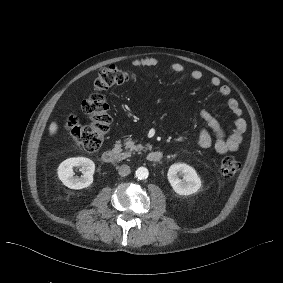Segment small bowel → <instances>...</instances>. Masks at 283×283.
<instances>
[{"instance_id":"obj_1","label":"small bowel","mask_w":283,"mask_h":283,"mask_svg":"<svg viewBox=\"0 0 283 283\" xmlns=\"http://www.w3.org/2000/svg\"><path fill=\"white\" fill-rule=\"evenodd\" d=\"M159 64L160 61L155 57L136 59L132 62V65L135 67H155ZM170 69L176 73L185 71L184 65L178 62L172 63ZM190 77L194 80H200L203 77V73L198 69H194L190 72ZM209 83L212 86L219 87L218 92L220 96L225 99L227 108L234 116V122L229 133H227L214 115L208 110H201L200 117L205 122L207 128L216 135L214 148L217 153L225 154L227 152L237 151L242 143L247 127L246 121L242 117V111L236 99L230 96V88L226 85H221L219 77L215 75L210 76ZM207 128H202L199 132L197 144L201 148H208L212 145L211 134Z\"/></svg>"}]
</instances>
